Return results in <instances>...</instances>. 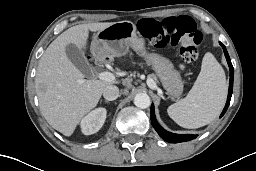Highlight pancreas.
<instances>
[{
    "label": "pancreas",
    "instance_id": "pancreas-1",
    "mask_svg": "<svg viewBox=\"0 0 256 171\" xmlns=\"http://www.w3.org/2000/svg\"><path fill=\"white\" fill-rule=\"evenodd\" d=\"M151 79H152L153 81H156V77H155V76H151Z\"/></svg>",
    "mask_w": 256,
    "mask_h": 171
}]
</instances>
